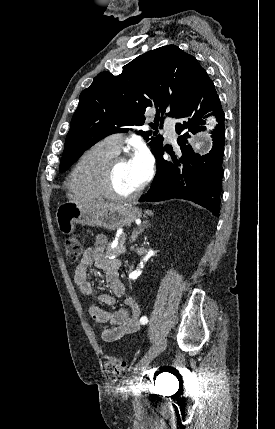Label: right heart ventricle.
<instances>
[{
	"label": "right heart ventricle",
	"mask_w": 275,
	"mask_h": 429,
	"mask_svg": "<svg viewBox=\"0 0 275 429\" xmlns=\"http://www.w3.org/2000/svg\"><path fill=\"white\" fill-rule=\"evenodd\" d=\"M116 152L106 147L103 142L88 148L80 157L68 178L69 189L87 199H103V171L107 161Z\"/></svg>",
	"instance_id": "right-heart-ventricle-1"
}]
</instances>
